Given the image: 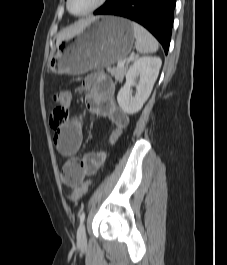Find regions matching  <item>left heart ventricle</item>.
Segmentation results:
<instances>
[{"label": "left heart ventricle", "mask_w": 227, "mask_h": 265, "mask_svg": "<svg viewBox=\"0 0 227 265\" xmlns=\"http://www.w3.org/2000/svg\"><path fill=\"white\" fill-rule=\"evenodd\" d=\"M97 0H71L70 9L74 13H82L91 8Z\"/></svg>", "instance_id": "b2bd125f"}]
</instances>
